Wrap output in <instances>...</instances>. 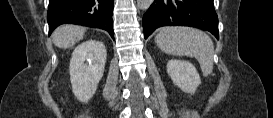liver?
Returning a JSON list of instances; mask_svg holds the SVG:
<instances>
[{
  "mask_svg": "<svg viewBox=\"0 0 273 118\" xmlns=\"http://www.w3.org/2000/svg\"><path fill=\"white\" fill-rule=\"evenodd\" d=\"M85 31V28L79 26H61L53 32V43L63 49L73 47L76 42L83 38Z\"/></svg>",
  "mask_w": 273,
  "mask_h": 118,
  "instance_id": "6515ba94",
  "label": "liver"
}]
</instances>
